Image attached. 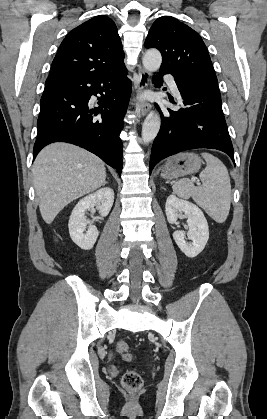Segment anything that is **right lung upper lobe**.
<instances>
[{"label":"right lung upper lobe","instance_id":"cb5924a9","mask_svg":"<svg viewBox=\"0 0 267 419\" xmlns=\"http://www.w3.org/2000/svg\"><path fill=\"white\" fill-rule=\"evenodd\" d=\"M123 66L124 52L115 23L107 16H97L67 34L47 80L106 74Z\"/></svg>","mask_w":267,"mask_h":419}]
</instances>
